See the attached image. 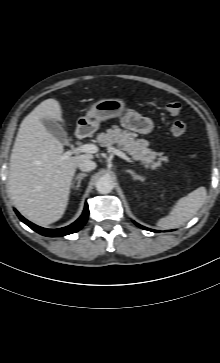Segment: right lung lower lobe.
<instances>
[{
  "mask_svg": "<svg viewBox=\"0 0 220 363\" xmlns=\"http://www.w3.org/2000/svg\"><path fill=\"white\" fill-rule=\"evenodd\" d=\"M15 212L22 222H24L26 225H28L31 229L38 232L39 234H41L43 236H47V237H59V236H65V235L72 234V233L79 231L87 221V218L89 215V208H88V204L86 203L83 214L80 216V218L77 221H75L74 223H72L69 226L59 228V229H46V228L39 227V226L29 222L28 220H26L16 210H15Z\"/></svg>",
  "mask_w": 220,
  "mask_h": 363,
  "instance_id": "obj_1",
  "label": "right lung lower lobe"
}]
</instances>
